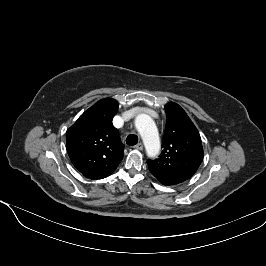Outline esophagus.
Returning <instances> with one entry per match:
<instances>
[{
  "label": "esophagus",
  "instance_id": "34e87169",
  "mask_svg": "<svg viewBox=\"0 0 266 266\" xmlns=\"http://www.w3.org/2000/svg\"><path fill=\"white\" fill-rule=\"evenodd\" d=\"M135 149L137 150H143V144L142 143H138L137 145L134 146Z\"/></svg>",
  "mask_w": 266,
  "mask_h": 266
}]
</instances>
